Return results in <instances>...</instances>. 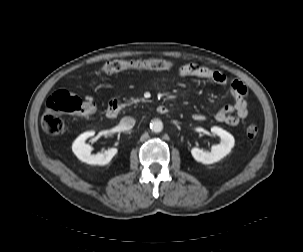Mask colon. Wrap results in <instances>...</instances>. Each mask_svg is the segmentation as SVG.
I'll return each mask as SVG.
<instances>
[{"instance_id":"1","label":"colon","mask_w":303,"mask_h":252,"mask_svg":"<svg viewBox=\"0 0 303 252\" xmlns=\"http://www.w3.org/2000/svg\"><path fill=\"white\" fill-rule=\"evenodd\" d=\"M173 68V63L163 59H138V60H111L100 69L104 74H115L128 70H159L168 71ZM63 113L89 116L95 113L92 101H83L67 90H60L50 96L46 102V109L42 118L44 130L51 135H61L65 131V124L61 117ZM259 129L250 124L246 128L249 138L257 136Z\"/></svg>"}]
</instances>
